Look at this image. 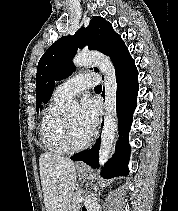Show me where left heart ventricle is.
<instances>
[{
	"label": "left heart ventricle",
	"mask_w": 178,
	"mask_h": 211,
	"mask_svg": "<svg viewBox=\"0 0 178 211\" xmlns=\"http://www.w3.org/2000/svg\"><path fill=\"white\" fill-rule=\"evenodd\" d=\"M71 135L74 143L82 144L84 143L90 136L79 124V115L78 113H73L67 116Z\"/></svg>",
	"instance_id": "obj_1"
}]
</instances>
